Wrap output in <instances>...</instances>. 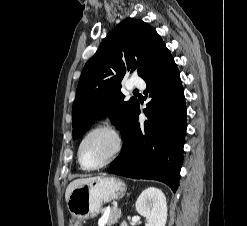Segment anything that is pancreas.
<instances>
[{"instance_id":"1","label":"pancreas","mask_w":247,"mask_h":226,"mask_svg":"<svg viewBox=\"0 0 247 226\" xmlns=\"http://www.w3.org/2000/svg\"><path fill=\"white\" fill-rule=\"evenodd\" d=\"M118 218L119 212L117 210H114L109 216L108 223H114L118 220Z\"/></svg>"}]
</instances>
